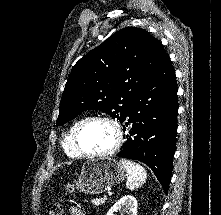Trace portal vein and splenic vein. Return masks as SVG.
<instances>
[{
  "mask_svg": "<svg viewBox=\"0 0 221 215\" xmlns=\"http://www.w3.org/2000/svg\"><path fill=\"white\" fill-rule=\"evenodd\" d=\"M110 195H111V194H109V196H110ZM104 200H107V196H106V195L104 196Z\"/></svg>",
  "mask_w": 221,
  "mask_h": 215,
  "instance_id": "18ae733b",
  "label": "portal vein and splenic vein"
}]
</instances>
